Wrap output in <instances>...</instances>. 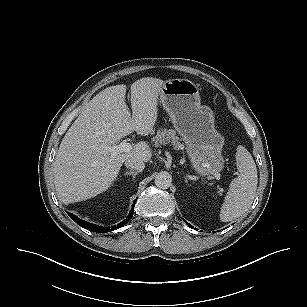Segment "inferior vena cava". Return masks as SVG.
I'll use <instances>...</instances> for the list:
<instances>
[{"mask_svg":"<svg viewBox=\"0 0 307 307\" xmlns=\"http://www.w3.org/2000/svg\"><path fill=\"white\" fill-rule=\"evenodd\" d=\"M125 166L127 168L132 169V170H136L137 172H141L145 168L144 162L140 159H137V158L126 159Z\"/></svg>","mask_w":307,"mask_h":307,"instance_id":"obj_1","label":"inferior vena cava"}]
</instances>
